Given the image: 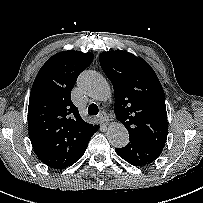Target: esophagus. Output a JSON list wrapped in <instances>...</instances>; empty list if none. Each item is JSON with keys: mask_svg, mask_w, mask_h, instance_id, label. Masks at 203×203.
Wrapping results in <instances>:
<instances>
[{"mask_svg": "<svg viewBox=\"0 0 203 203\" xmlns=\"http://www.w3.org/2000/svg\"><path fill=\"white\" fill-rule=\"evenodd\" d=\"M98 118L103 123H108L109 122V116L104 111L99 113Z\"/></svg>", "mask_w": 203, "mask_h": 203, "instance_id": "34e87169", "label": "esophagus"}]
</instances>
